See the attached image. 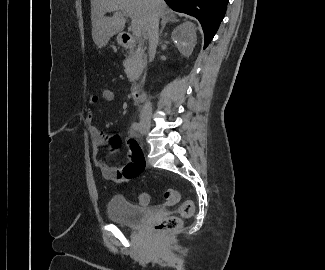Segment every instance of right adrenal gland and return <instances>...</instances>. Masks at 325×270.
<instances>
[{"label":"right adrenal gland","mask_w":325,"mask_h":270,"mask_svg":"<svg viewBox=\"0 0 325 270\" xmlns=\"http://www.w3.org/2000/svg\"><path fill=\"white\" fill-rule=\"evenodd\" d=\"M178 21L179 20L177 18H175L174 16H172V15H167V16L163 17L162 22H161V29H160L159 35L160 36L162 35L164 27L168 22H178Z\"/></svg>","instance_id":"obj_1"}]
</instances>
